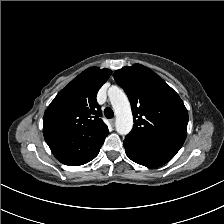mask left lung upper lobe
Listing matches in <instances>:
<instances>
[{
	"mask_svg": "<svg viewBox=\"0 0 224 224\" xmlns=\"http://www.w3.org/2000/svg\"><path fill=\"white\" fill-rule=\"evenodd\" d=\"M113 76L131 103L134 125L129 134L181 148L187 135L188 112L179 95L141 64L123 67Z\"/></svg>",
	"mask_w": 224,
	"mask_h": 224,
	"instance_id": "1",
	"label": "left lung upper lobe"
}]
</instances>
